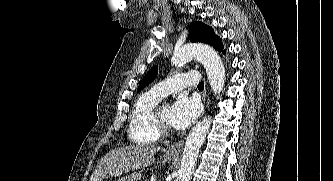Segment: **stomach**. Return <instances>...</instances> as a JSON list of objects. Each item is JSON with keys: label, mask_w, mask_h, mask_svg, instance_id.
I'll return each instance as SVG.
<instances>
[{"label": "stomach", "mask_w": 333, "mask_h": 181, "mask_svg": "<svg viewBox=\"0 0 333 181\" xmlns=\"http://www.w3.org/2000/svg\"><path fill=\"white\" fill-rule=\"evenodd\" d=\"M176 155H169V154H165L162 158L161 161L162 163H166L171 161L172 159L175 158ZM116 181H142V174L141 172H134L132 174L123 176L121 178H119Z\"/></svg>", "instance_id": "stomach-1"}]
</instances>
